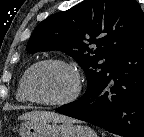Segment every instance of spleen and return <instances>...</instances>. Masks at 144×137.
Returning <instances> with one entry per match:
<instances>
[{
    "label": "spleen",
    "mask_w": 144,
    "mask_h": 137,
    "mask_svg": "<svg viewBox=\"0 0 144 137\" xmlns=\"http://www.w3.org/2000/svg\"><path fill=\"white\" fill-rule=\"evenodd\" d=\"M102 137H105V134H104V133H102Z\"/></svg>",
    "instance_id": "3e777b00"
}]
</instances>
